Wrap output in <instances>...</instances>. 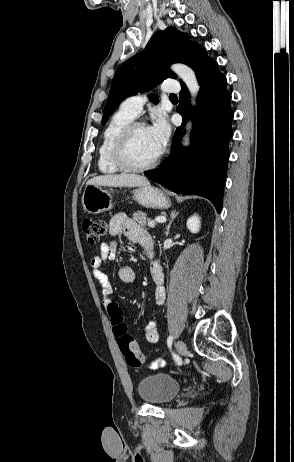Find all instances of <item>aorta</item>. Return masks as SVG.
Wrapping results in <instances>:
<instances>
[{
  "label": "aorta",
  "mask_w": 294,
  "mask_h": 462,
  "mask_svg": "<svg viewBox=\"0 0 294 462\" xmlns=\"http://www.w3.org/2000/svg\"><path fill=\"white\" fill-rule=\"evenodd\" d=\"M172 70L184 81V83L186 84V86L188 87L190 93H191V96H192V101H193V104L195 103V98L199 92V89H200V86L198 84V81L196 79V75L194 73V71L184 65V64H173L171 66ZM191 129V124L188 123L187 125V135L185 136L184 140H183V144L185 146H188L189 145V131Z\"/></svg>",
  "instance_id": "aorta-1"
}]
</instances>
